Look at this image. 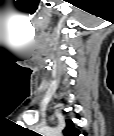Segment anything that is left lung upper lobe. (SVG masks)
I'll return each instance as SVG.
<instances>
[{
    "instance_id": "left-lung-upper-lobe-1",
    "label": "left lung upper lobe",
    "mask_w": 114,
    "mask_h": 136,
    "mask_svg": "<svg viewBox=\"0 0 114 136\" xmlns=\"http://www.w3.org/2000/svg\"><path fill=\"white\" fill-rule=\"evenodd\" d=\"M65 136H78L79 131L74 127L71 120H66V127L63 130Z\"/></svg>"
}]
</instances>
